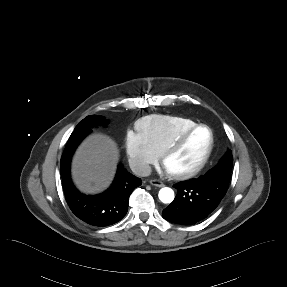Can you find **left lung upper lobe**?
<instances>
[{"instance_id":"left-lung-upper-lobe-1","label":"left lung upper lobe","mask_w":287,"mask_h":287,"mask_svg":"<svg viewBox=\"0 0 287 287\" xmlns=\"http://www.w3.org/2000/svg\"><path fill=\"white\" fill-rule=\"evenodd\" d=\"M232 164H233L232 152L231 150H228L226 154L223 156V158L219 161V163L214 167V169L223 170L227 178L230 180L232 172ZM209 171L205 174V176H207Z\"/></svg>"}]
</instances>
